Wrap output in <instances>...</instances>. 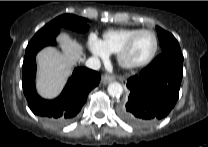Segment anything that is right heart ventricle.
<instances>
[{"instance_id": "obj_1", "label": "right heart ventricle", "mask_w": 208, "mask_h": 147, "mask_svg": "<svg viewBox=\"0 0 208 147\" xmlns=\"http://www.w3.org/2000/svg\"><path fill=\"white\" fill-rule=\"evenodd\" d=\"M140 30L139 28L109 29L104 32L102 41L109 53L117 54L126 41Z\"/></svg>"}]
</instances>
